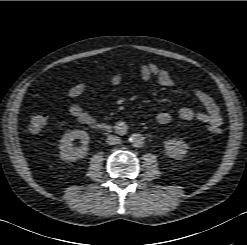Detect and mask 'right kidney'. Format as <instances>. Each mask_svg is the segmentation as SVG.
Masks as SVG:
<instances>
[{"label":"right kidney","mask_w":247,"mask_h":245,"mask_svg":"<svg viewBox=\"0 0 247 245\" xmlns=\"http://www.w3.org/2000/svg\"><path fill=\"white\" fill-rule=\"evenodd\" d=\"M80 139L81 146L73 147V141ZM89 135L83 130H73L63 135L60 141V157L64 161L85 158L88 153Z\"/></svg>","instance_id":"right-kidney-1"}]
</instances>
